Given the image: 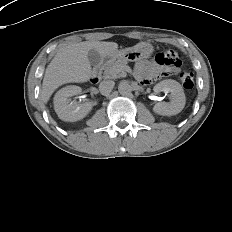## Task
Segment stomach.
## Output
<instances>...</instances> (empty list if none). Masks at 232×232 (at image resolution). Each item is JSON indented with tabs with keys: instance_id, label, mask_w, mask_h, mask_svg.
Returning <instances> with one entry per match:
<instances>
[{
	"instance_id": "stomach-1",
	"label": "stomach",
	"mask_w": 232,
	"mask_h": 232,
	"mask_svg": "<svg viewBox=\"0 0 232 232\" xmlns=\"http://www.w3.org/2000/svg\"><path fill=\"white\" fill-rule=\"evenodd\" d=\"M154 49L150 43H139L132 48L118 51L116 54L108 57L110 60L121 59L125 61H136L143 58H149Z\"/></svg>"
}]
</instances>
